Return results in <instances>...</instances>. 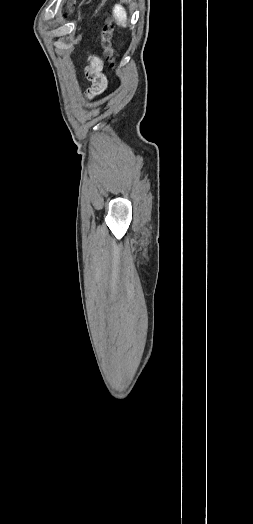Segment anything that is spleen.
<instances>
[{"label":"spleen","instance_id":"3e777b00","mask_svg":"<svg viewBox=\"0 0 253 524\" xmlns=\"http://www.w3.org/2000/svg\"><path fill=\"white\" fill-rule=\"evenodd\" d=\"M114 18L119 26H127V13L126 10L119 4H116L113 9Z\"/></svg>","mask_w":253,"mask_h":524}]
</instances>
